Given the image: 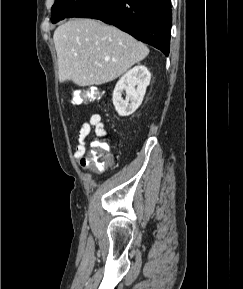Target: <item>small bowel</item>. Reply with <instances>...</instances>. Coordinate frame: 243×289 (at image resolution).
<instances>
[{
  "mask_svg": "<svg viewBox=\"0 0 243 289\" xmlns=\"http://www.w3.org/2000/svg\"><path fill=\"white\" fill-rule=\"evenodd\" d=\"M92 132H94L98 138L108 136L100 114H92L89 120L83 123L77 132L78 145L75 148L74 156L84 170L88 168V165L82 161L86 156V139Z\"/></svg>",
  "mask_w": 243,
  "mask_h": 289,
  "instance_id": "1",
  "label": "small bowel"
}]
</instances>
